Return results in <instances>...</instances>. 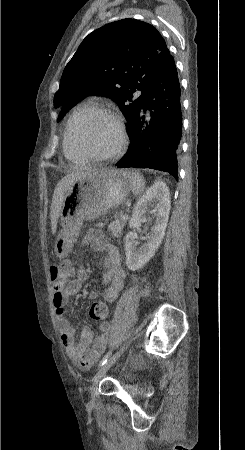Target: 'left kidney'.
Returning a JSON list of instances; mask_svg holds the SVG:
<instances>
[{
	"mask_svg": "<svg viewBox=\"0 0 245 450\" xmlns=\"http://www.w3.org/2000/svg\"><path fill=\"white\" fill-rule=\"evenodd\" d=\"M170 193L165 183L158 181L151 186L145 194L138 200L132 217L129 221V227L139 228L141 221L150 208L154 209L156 217L155 225L151 228L147 236V242L137 247V234L129 232L125 238L126 265L136 271L142 268L155 254L165 235L169 212H170Z\"/></svg>",
	"mask_w": 245,
	"mask_h": 450,
	"instance_id": "1",
	"label": "left kidney"
}]
</instances>
